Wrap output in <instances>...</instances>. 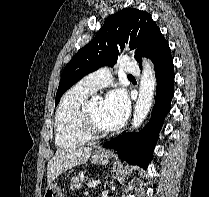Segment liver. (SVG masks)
<instances>
[{
	"instance_id": "1",
	"label": "liver",
	"mask_w": 209,
	"mask_h": 197,
	"mask_svg": "<svg viewBox=\"0 0 209 197\" xmlns=\"http://www.w3.org/2000/svg\"><path fill=\"white\" fill-rule=\"evenodd\" d=\"M91 153V147H74L57 150L47 165L48 185L52 184L64 171L86 162L90 158Z\"/></svg>"
}]
</instances>
